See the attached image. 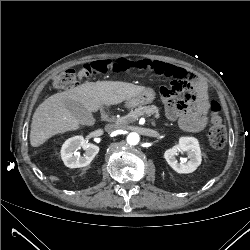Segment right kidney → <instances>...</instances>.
I'll return each instance as SVG.
<instances>
[{
  "instance_id": "ca27d5eb",
  "label": "right kidney",
  "mask_w": 250,
  "mask_h": 250,
  "mask_svg": "<svg viewBox=\"0 0 250 250\" xmlns=\"http://www.w3.org/2000/svg\"><path fill=\"white\" fill-rule=\"evenodd\" d=\"M80 148L85 150L83 155L77 152ZM98 152V146L88 143L82 136H75L62 145L61 157L67 167L80 168L89 165Z\"/></svg>"
}]
</instances>
